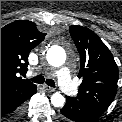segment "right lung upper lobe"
Listing matches in <instances>:
<instances>
[{"mask_svg":"<svg viewBox=\"0 0 122 122\" xmlns=\"http://www.w3.org/2000/svg\"><path fill=\"white\" fill-rule=\"evenodd\" d=\"M45 35L28 20L14 21L1 29V91L24 92L36 86L18 74L27 71V57Z\"/></svg>","mask_w":122,"mask_h":122,"instance_id":"obj_1","label":"right lung upper lobe"}]
</instances>
